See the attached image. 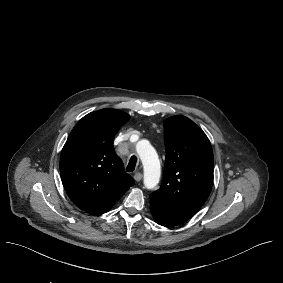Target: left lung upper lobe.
<instances>
[{
  "instance_id": "1",
  "label": "left lung upper lobe",
  "mask_w": 283,
  "mask_h": 283,
  "mask_svg": "<svg viewBox=\"0 0 283 283\" xmlns=\"http://www.w3.org/2000/svg\"><path fill=\"white\" fill-rule=\"evenodd\" d=\"M163 124L164 179L160 189L151 195L168 203L199 209L213 184L214 157L210 141L184 116L170 117Z\"/></svg>"
}]
</instances>
